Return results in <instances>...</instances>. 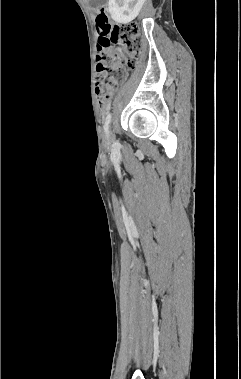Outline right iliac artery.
Segmentation results:
<instances>
[{"instance_id": "obj_1", "label": "right iliac artery", "mask_w": 241, "mask_h": 379, "mask_svg": "<svg viewBox=\"0 0 241 379\" xmlns=\"http://www.w3.org/2000/svg\"><path fill=\"white\" fill-rule=\"evenodd\" d=\"M111 118H112L111 114H108L107 117H106V122H105L104 130H105V133H106L107 136L109 134V125L111 123Z\"/></svg>"}]
</instances>
